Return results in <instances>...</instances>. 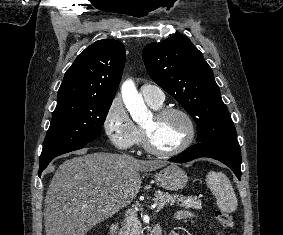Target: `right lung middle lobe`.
<instances>
[{
  "instance_id": "dd1d6c3e",
  "label": "right lung middle lobe",
  "mask_w": 283,
  "mask_h": 235,
  "mask_svg": "<svg viewBox=\"0 0 283 235\" xmlns=\"http://www.w3.org/2000/svg\"><path fill=\"white\" fill-rule=\"evenodd\" d=\"M112 99L72 98L57 103L46 134L40 162L101 135Z\"/></svg>"
}]
</instances>
